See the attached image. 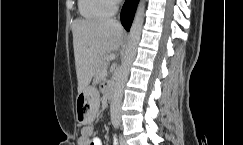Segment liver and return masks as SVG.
Masks as SVG:
<instances>
[{"instance_id": "6515ba94", "label": "liver", "mask_w": 243, "mask_h": 145, "mask_svg": "<svg viewBox=\"0 0 243 145\" xmlns=\"http://www.w3.org/2000/svg\"><path fill=\"white\" fill-rule=\"evenodd\" d=\"M78 92H83L95 76L105 56L123 42V27L112 19H76L72 23Z\"/></svg>"}]
</instances>
